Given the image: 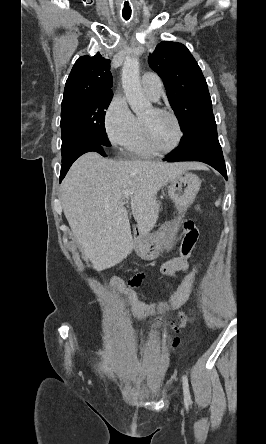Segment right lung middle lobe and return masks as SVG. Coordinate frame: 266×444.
I'll list each match as a JSON object with an SVG mask.
<instances>
[{"label": "right lung middle lobe", "instance_id": "1", "mask_svg": "<svg viewBox=\"0 0 266 444\" xmlns=\"http://www.w3.org/2000/svg\"><path fill=\"white\" fill-rule=\"evenodd\" d=\"M112 96V93H102L62 102V159L85 142L93 141L105 147L110 146L104 119Z\"/></svg>", "mask_w": 266, "mask_h": 444}]
</instances>
